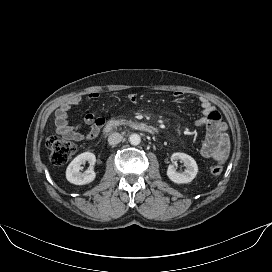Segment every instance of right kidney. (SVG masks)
<instances>
[{
    "mask_svg": "<svg viewBox=\"0 0 272 272\" xmlns=\"http://www.w3.org/2000/svg\"><path fill=\"white\" fill-rule=\"evenodd\" d=\"M90 163V169L80 172L81 165L84 163ZM96 162V157L93 153L84 152L77 157H75L66 169L67 180L75 185H84L91 183L95 177L96 173L93 170V165Z\"/></svg>",
    "mask_w": 272,
    "mask_h": 272,
    "instance_id": "1",
    "label": "right kidney"
}]
</instances>
